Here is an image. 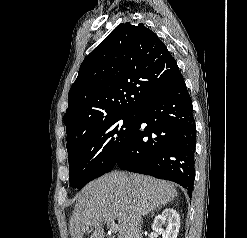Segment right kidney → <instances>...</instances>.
<instances>
[{
  "label": "right kidney",
  "instance_id": "right-kidney-1",
  "mask_svg": "<svg viewBox=\"0 0 247 238\" xmlns=\"http://www.w3.org/2000/svg\"><path fill=\"white\" fill-rule=\"evenodd\" d=\"M179 227L180 216L173 208L163 210L161 214L155 217L152 224V229L161 234L162 238H177Z\"/></svg>",
  "mask_w": 247,
  "mask_h": 238
}]
</instances>
